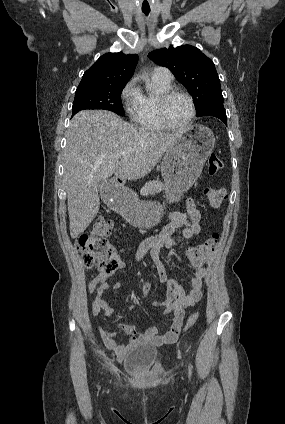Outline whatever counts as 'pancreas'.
Returning a JSON list of instances; mask_svg holds the SVG:
<instances>
[{"instance_id": "1", "label": "pancreas", "mask_w": 285, "mask_h": 424, "mask_svg": "<svg viewBox=\"0 0 285 424\" xmlns=\"http://www.w3.org/2000/svg\"><path fill=\"white\" fill-rule=\"evenodd\" d=\"M164 189V184L157 180L147 182L140 190V195L148 196L160 193Z\"/></svg>"}]
</instances>
